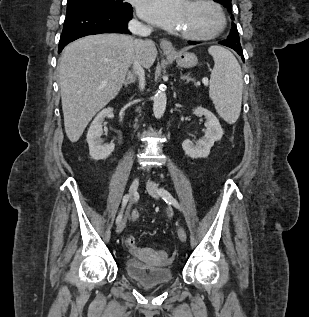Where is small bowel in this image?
Instances as JSON below:
<instances>
[{"instance_id": "1", "label": "small bowel", "mask_w": 309, "mask_h": 317, "mask_svg": "<svg viewBox=\"0 0 309 317\" xmlns=\"http://www.w3.org/2000/svg\"><path fill=\"white\" fill-rule=\"evenodd\" d=\"M131 250H132V251H135V248H132Z\"/></svg>"}]
</instances>
